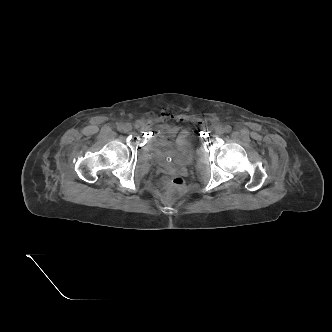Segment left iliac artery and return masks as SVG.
Segmentation results:
<instances>
[{
	"label": "left iliac artery",
	"instance_id": "left-iliac-artery-1",
	"mask_svg": "<svg viewBox=\"0 0 332 332\" xmlns=\"http://www.w3.org/2000/svg\"><path fill=\"white\" fill-rule=\"evenodd\" d=\"M231 130H232V127H231L230 125H227V126L225 127V131H226L227 133L231 132Z\"/></svg>",
	"mask_w": 332,
	"mask_h": 332
}]
</instances>
